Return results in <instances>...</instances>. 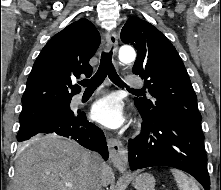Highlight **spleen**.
Returning a JSON list of instances; mask_svg holds the SVG:
<instances>
[{"mask_svg":"<svg viewBox=\"0 0 221 190\" xmlns=\"http://www.w3.org/2000/svg\"><path fill=\"white\" fill-rule=\"evenodd\" d=\"M171 172L180 190H200L195 181L182 171L171 169Z\"/></svg>","mask_w":221,"mask_h":190,"instance_id":"3e777b00","label":"spleen"}]
</instances>
